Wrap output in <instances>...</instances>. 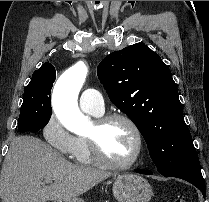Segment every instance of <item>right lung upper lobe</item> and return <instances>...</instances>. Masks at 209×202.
I'll return each mask as SVG.
<instances>
[{
  "instance_id": "obj_1",
  "label": "right lung upper lobe",
  "mask_w": 209,
  "mask_h": 202,
  "mask_svg": "<svg viewBox=\"0 0 209 202\" xmlns=\"http://www.w3.org/2000/svg\"><path fill=\"white\" fill-rule=\"evenodd\" d=\"M37 77H56V70L51 63L46 62L33 73L32 78Z\"/></svg>"
}]
</instances>
